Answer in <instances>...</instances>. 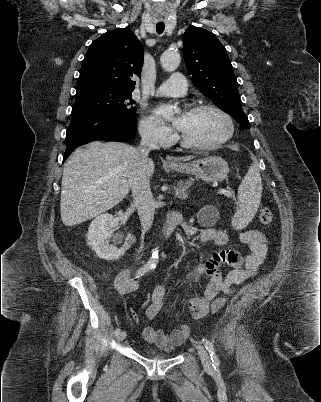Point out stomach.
Here are the masks:
<instances>
[{
    "label": "stomach",
    "instance_id": "stomach-1",
    "mask_svg": "<svg viewBox=\"0 0 321 402\" xmlns=\"http://www.w3.org/2000/svg\"><path fill=\"white\" fill-rule=\"evenodd\" d=\"M170 168L177 172L194 174L207 182L223 181L229 173L228 163L217 156L200 158Z\"/></svg>",
    "mask_w": 321,
    "mask_h": 402
}]
</instances>
